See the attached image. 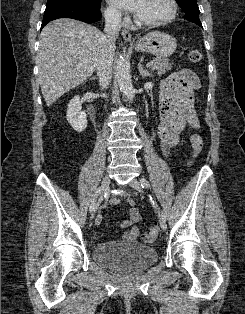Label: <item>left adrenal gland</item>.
Listing matches in <instances>:
<instances>
[{"label": "left adrenal gland", "mask_w": 245, "mask_h": 314, "mask_svg": "<svg viewBox=\"0 0 245 314\" xmlns=\"http://www.w3.org/2000/svg\"><path fill=\"white\" fill-rule=\"evenodd\" d=\"M138 70L142 78L152 77V73H150L148 70L144 69V66L142 64V61L138 64Z\"/></svg>", "instance_id": "1"}]
</instances>
